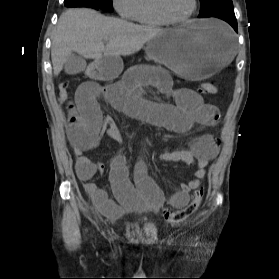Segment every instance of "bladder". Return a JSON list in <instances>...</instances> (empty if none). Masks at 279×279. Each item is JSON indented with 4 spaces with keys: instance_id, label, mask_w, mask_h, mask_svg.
Returning <instances> with one entry per match:
<instances>
[{
    "instance_id": "1",
    "label": "bladder",
    "mask_w": 279,
    "mask_h": 279,
    "mask_svg": "<svg viewBox=\"0 0 279 279\" xmlns=\"http://www.w3.org/2000/svg\"><path fill=\"white\" fill-rule=\"evenodd\" d=\"M141 223L147 224L149 223V219L145 218V219H136L135 221L132 222L133 226L139 225Z\"/></svg>"
}]
</instances>
